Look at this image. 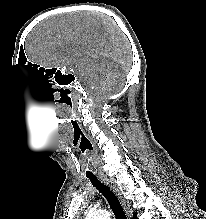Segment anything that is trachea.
I'll return each instance as SVG.
<instances>
[{"mask_svg": "<svg viewBox=\"0 0 206 219\" xmlns=\"http://www.w3.org/2000/svg\"><path fill=\"white\" fill-rule=\"evenodd\" d=\"M87 178L92 185L107 199L116 219H127L123 207L116 194L104 183H102L95 175L87 174Z\"/></svg>", "mask_w": 206, "mask_h": 219, "instance_id": "1", "label": "trachea"}]
</instances>
